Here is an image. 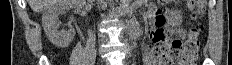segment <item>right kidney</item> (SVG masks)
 Returning <instances> with one entry per match:
<instances>
[{"instance_id": "right-kidney-1", "label": "right kidney", "mask_w": 232, "mask_h": 65, "mask_svg": "<svg viewBox=\"0 0 232 65\" xmlns=\"http://www.w3.org/2000/svg\"><path fill=\"white\" fill-rule=\"evenodd\" d=\"M75 0H57L53 6H50L42 16L43 29L50 42L59 48H65L70 45L75 36L73 28L67 31L58 30L59 15L72 8Z\"/></svg>"}]
</instances>
